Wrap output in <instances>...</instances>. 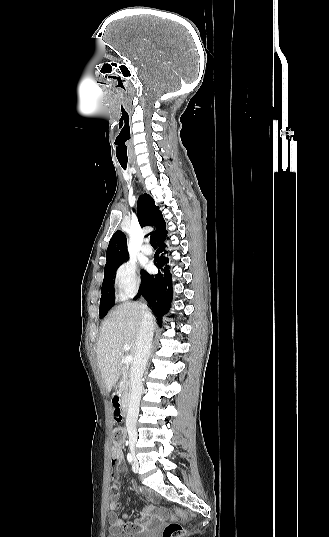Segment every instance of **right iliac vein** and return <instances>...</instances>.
I'll list each match as a JSON object with an SVG mask.
<instances>
[{
    "label": "right iliac vein",
    "mask_w": 329,
    "mask_h": 537,
    "mask_svg": "<svg viewBox=\"0 0 329 537\" xmlns=\"http://www.w3.org/2000/svg\"><path fill=\"white\" fill-rule=\"evenodd\" d=\"M135 441L136 439L134 437H130V449L132 451V453L134 454V444H135Z\"/></svg>",
    "instance_id": "1"
}]
</instances>
